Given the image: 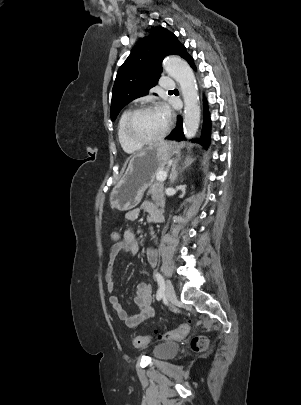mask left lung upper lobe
Wrapping results in <instances>:
<instances>
[{
	"label": "left lung upper lobe",
	"mask_w": 301,
	"mask_h": 405,
	"mask_svg": "<svg viewBox=\"0 0 301 405\" xmlns=\"http://www.w3.org/2000/svg\"><path fill=\"white\" fill-rule=\"evenodd\" d=\"M168 55H179L185 60L189 57L177 37L163 27L155 29L138 42L117 72L112 89V121L128 102L147 95L157 84L162 72V60Z\"/></svg>",
	"instance_id": "5c2ea615"
}]
</instances>
